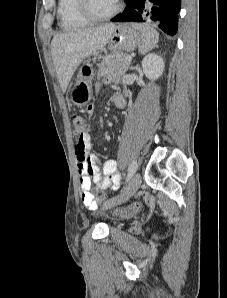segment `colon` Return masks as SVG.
Here are the masks:
<instances>
[{
    "label": "colon",
    "instance_id": "colon-1",
    "mask_svg": "<svg viewBox=\"0 0 227 298\" xmlns=\"http://www.w3.org/2000/svg\"><path fill=\"white\" fill-rule=\"evenodd\" d=\"M73 132L77 139L76 150L83 154L85 148L84 138L87 135L90 125L87 117L80 114H75L72 117ZM96 200L98 202H103L106 199L104 192L101 190H96L95 192ZM132 207H137V202L131 203ZM140 207L144 206L143 202L139 203ZM132 213H139V208H117V213L113 214L114 218H132Z\"/></svg>",
    "mask_w": 227,
    "mask_h": 298
}]
</instances>
